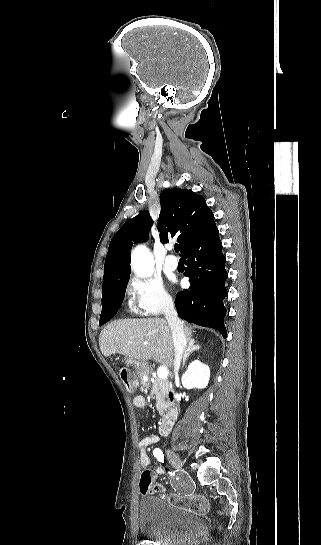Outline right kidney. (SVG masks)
Here are the masks:
<instances>
[{"mask_svg":"<svg viewBox=\"0 0 321 545\" xmlns=\"http://www.w3.org/2000/svg\"><path fill=\"white\" fill-rule=\"evenodd\" d=\"M210 369L200 361H192L181 377L185 389H205L209 383Z\"/></svg>","mask_w":321,"mask_h":545,"instance_id":"1","label":"right kidney"}]
</instances>
